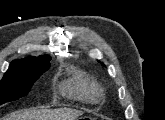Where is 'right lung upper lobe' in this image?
Listing matches in <instances>:
<instances>
[{
    "mask_svg": "<svg viewBox=\"0 0 165 120\" xmlns=\"http://www.w3.org/2000/svg\"><path fill=\"white\" fill-rule=\"evenodd\" d=\"M50 60V57L48 56H40V57H29L19 60H14L11 62L10 67L23 65V64H42V65H48Z\"/></svg>",
    "mask_w": 165,
    "mask_h": 120,
    "instance_id": "right-lung-upper-lobe-1",
    "label": "right lung upper lobe"
}]
</instances>
